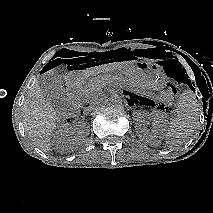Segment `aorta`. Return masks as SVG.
<instances>
[{"instance_id":"762f6f07","label":"aorta","mask_w":213,"mask_h":213,"mask_svg":"<svg viewBox=\"0 0 213 213\" xmlns=\"http://www.w3.org/2000/svg\"><path fill=\"white\" fill-rule=\"evenodd\" d=\"M107 104L110 107L118 108L122 106V98L119 94L113 93L108 99H107Z\"/></svg>"}]
</instances>
